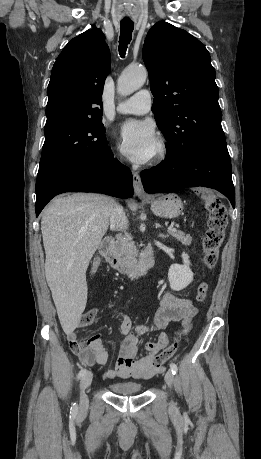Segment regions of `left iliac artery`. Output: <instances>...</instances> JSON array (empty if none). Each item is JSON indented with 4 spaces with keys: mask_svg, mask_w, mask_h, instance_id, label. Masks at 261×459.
Listing matches in <instances>:
<instances>
[{
    "mask_svg": "<svg viewBox=\"0 0 261 459\" xmlns=\"http://www.w3.org/2000/svg\"><path fill=\"white\" fill-rule=\"evenodd\" d=\"M170 369L172 371V373L175 375L178 371V368H177V365L175 363H171L170 364Z\"/></svg>",
    "mask_w": 261,
    "mask_h": 459,
    "instance_id": "obj_1",
    "label": "left iliac artery"
}]
</instances>
